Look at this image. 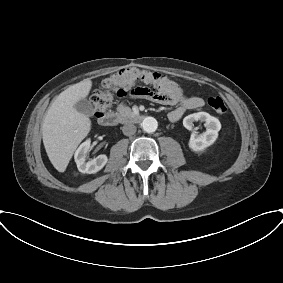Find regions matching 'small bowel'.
I'll return each instance as SVG.
<instances>
[{
    "mask_svg": "<svg viewBox=\"0 0 283 283\" xmlns=\"http://www.w3.org/2000/svg\"><path fill=\"white\" fill-rule=\"evenodd\" d=\"M172 81V80H171ZM173 92L168 95L167 100L158 101L151 97L147 99L169 105H178L174 110L169 113V119L172 122L178 121L187 110L197 109L203 105V100L195 96H186L182 93L181 88L177 83L172 81Z\"/></svg>",
    "mask_w": 283,
    "mask_h": 283,
    "instance_id": "small-bowel-1",
    "label": "small bowel"
}]
</instances>
